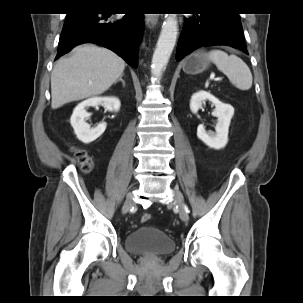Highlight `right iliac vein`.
Instances as JSON below:
<instances>
[{
	"label": "right iliac vein",
	"mask_w": 303,
	"mask_h": 303,
	"mask_svg": "<svg viewBox=\"0 0 303 303\" xmlns=\"http://www.w3.org/2000/svg\"><path fill=\"white\" fill-rule=\"evenodd\" d=\"M133 204H134L133 195H132V193H129L126 197L125 204L122 208V213L126 214L127 212H129V210L131 209Z\"/></svg>",
	"instance_id": "right-iliac-vein-1"
}]
</instances>
